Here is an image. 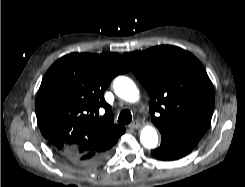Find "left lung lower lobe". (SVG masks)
I'll use <instances>...</instances> for the list:
<instances>
[{"instance_id":"left-lung-lower-lobe-1","label":"left lung lower lobe","mask_w":245,"mask_h":187,"mask_svg":"<svg viewBox=\"0 0 245 187\" xmlns=\"http://www.w3.org/2000/svg\"><path fill=\"white\" fill-rule=\"evenodd\" d=\"M161 132V145L151 151L152 155L159 160H177L188 153L199 142L202 134L198 132Z\"/></svg>"}]
</instances>
